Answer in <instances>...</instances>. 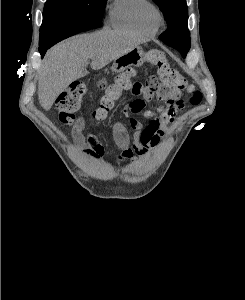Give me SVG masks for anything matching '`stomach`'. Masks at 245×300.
Instances as JSON below:
<instances>
[{
	"instance_id": "obj_1",
	"label": "stomach",
	"mask_w": 245,
	"mask_h": 300,
	"mask_svg": "<svg viewBox=\"0 0 245 300\" xmlns=\"http://www.w3.org/2000/svg\"><path fill=\"white\" fill-rule=\"evenodd\" d=\"M144 62V51L141 47H135L127 53L121 55L113 61L111 70L113 72H123L129 67H139Z\"/></svg>"
}]
</instances>
